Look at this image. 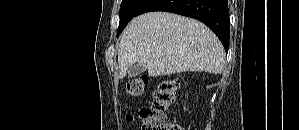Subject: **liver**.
<instances>
[{
  "label": "liver",
  "instance_id": "obj_1",
  "mask_svg": "<svg viewBox=\"0 0 299 130\" xmlns=\"http://www.w3.org/2000/svg\"><path fill=\"white\" fill-rule=\"evenodd\" d=\"M119 77L139 63L150 77L198 71L219 74L225 52L217 36L203 23L167 12L133 18L123 31L118 49Z\"/></svg>",
  "mask_w": 299,
  "mask_h": 130
}]
</instances>
